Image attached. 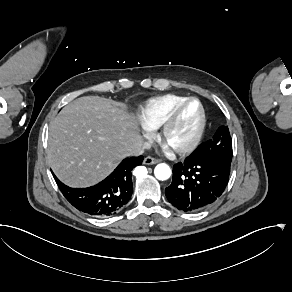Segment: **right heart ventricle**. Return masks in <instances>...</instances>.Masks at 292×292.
I'll return each mask as SVG.
<instances>
[{"label":"right heart ventricle","instance_id":"e07e8e85","mask_svg":"<svg viewBox=\"0 0 292 292\" xmlns=\"http://www.w3.org/2000/svg\"><path fill=\"white\" fill-rule=\"evenodd\" d=\"M187 98L175 93L163 94L147 100L137 109L136 114L142 123L158 128L162 125L172 108Z\"/></svg>","mask_w":292,"mask_h":292}]
</instances>
